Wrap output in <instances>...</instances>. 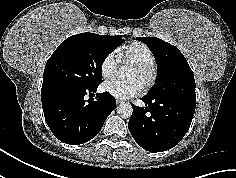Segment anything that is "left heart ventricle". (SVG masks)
<instances>
[{
	"instance_id": "obj_1",
	"label": "left heart ventricle",
	"mask_w": 236,
	"mask_h": 178,
	"mask_svg": "<svg viewBox=\"0 0 236 178\" xmlns=\"http://www.w3.org/2000/svg\"><path fill=\"white\" fill-rule=\"evenodd\" d=\"M126 76L129 79H135L139 81L141 84H143L146 79V75L144 73H142L140 70L133 67L129 68Z\"/></svg>"
}]
</instances>
